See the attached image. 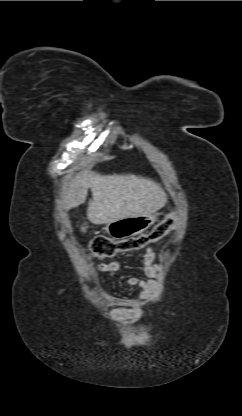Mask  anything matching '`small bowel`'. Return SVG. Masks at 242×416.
Listing matches in <instances>:
<instances>
[{"instance_id": "c3829d8e", "label": "small bowel", "mask_w": 242, "mask_h": 416, "mask_svg": "<svg viewBox=\"0 0 242 416\" xmlns=\"http://www.w3.org/2000/svg\"><path fill=\"white\" fill-rule=\"evenodd\" d=\"M143 261V270L147 279L130 277L127 280L130 286L140 289L138 297L135 299H119V306L112 312V318L119 325L137 319L143 314L152 297L155 283L160 276L161 268L156 261V253L151 247L146 248ZM120 267L118 261H111L98 264L97 270L108 276H113L119 271Z\"/></svg>"}]
</instances>
